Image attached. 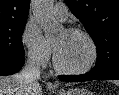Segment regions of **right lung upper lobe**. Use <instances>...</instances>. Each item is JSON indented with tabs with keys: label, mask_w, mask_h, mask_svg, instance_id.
Listing matches in <instances>:
<instances>
[{
	"label": "right lung upper lobe",
	"mask_w": 119,
	"mask_h": 95,
	"mask_svg": "<svg viewBox=\"0 0 119 95\" xmlns=\"http://www.w3.org/2000/svg\"><path fill=\"white\" fill-rule=\"evenodd\" d=\"M30 0H0V26L27 20Z\"/></svg>",
	"instance_id": "obj_1"
}]
</instances>
